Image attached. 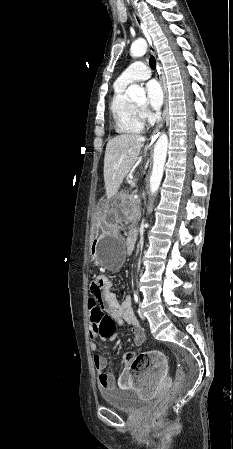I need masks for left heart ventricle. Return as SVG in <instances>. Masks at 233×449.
<instances>
[{"mask_svg":"<svg viewBox=\"0 0 233 449\" xmlns=\"http://www.w3.org/2000/svg\"><path fill=\"white\" fill-rule=\"evenodd\" d=\"M137 105L142 106V105H143V102L137 103Z\"/></svg>","mask_w":233,"mask_h":449,"instance_id":"obj_1","label":"left heart ventricle"}]
</instances>
